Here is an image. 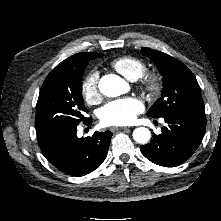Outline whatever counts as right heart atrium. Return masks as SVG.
Returning a JSON list of instances; mask_svg holds the SVG:
<instances>
[{"instance_id":"obj_1","label":"right heart atrium","mask_w":221,"mask_h":221,"mask_svg":"<svg viewBox=\"0 0 221 221\" xmlns=\"http://www.w3.org/2000/svg\"><path fill=\"white\" fill-rule=\"evenodd\" d=\"M99 74L97 71L89 72L82 81L81 93L89 104H96L101 100L102 94L98 85Z\"/></svg>"}]
</instances>
